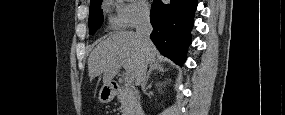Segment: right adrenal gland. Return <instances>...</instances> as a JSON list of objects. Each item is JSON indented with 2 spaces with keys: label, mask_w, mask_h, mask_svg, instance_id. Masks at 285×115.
Segmentation results:
<instances>
[{
  "label": "right adrenal gland",
  "mask_w": 285,
  "mask_h": 115,
  "mask_svg": "<svg viewBox=\"0 0 285 115\" xmlns=\"http://www.w3.org/2000/svg\"><path fill=\"white\" fill-rule=\"evenodd\" d=\"M153 71L166 72L167 69H164V66L162 64L157 63V62L151 64L150 68H149V71H148V73L146 75L145 83L148 82V79H149V77H150V75H151V73Z\"/></svg>",
  "instance_id": "obj_1"
}]
</instances>
